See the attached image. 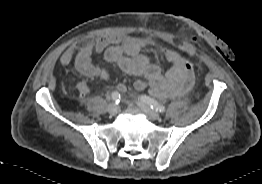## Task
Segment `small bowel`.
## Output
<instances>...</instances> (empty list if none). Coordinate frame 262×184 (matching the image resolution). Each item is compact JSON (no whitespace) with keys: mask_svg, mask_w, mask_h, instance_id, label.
<instances>
[{"mask_svg":"<svg viewBox=\"0 0 262 184\" xmlns=\"http://www.w3.org/2000/svg\"><path fill=\"white\" fill-rule=\"evenodd\" d=\"M191 41L194 44L204 45L206 38L193 34ZM151 45L152 42L147 39L110 34L94 42H87L80 48L69 47L60 57V63L68 65L74 62L76 70L83 76L107 79L108 72L92 63L93 54L103 53L107 62L115 64L123 72L143 77L134 82L136 90L149 88L152 94L159 98L180 95L179 89L186 77L184 67L188 61L178 52L173 58L163 56L171 64L163 75L160 67L144 53V50ZM77 89L80 100H83L90 91L85 81L79 82Z\"/></svg>","mask_w":262,"mask_h":184,"instance_id":"1","label":"small bowel"}]
</instances>
